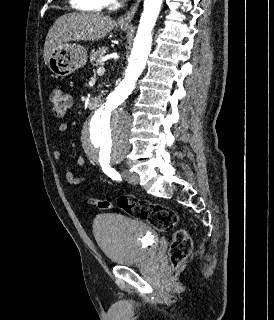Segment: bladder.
<instances>
[{
	"label": "bladder",
	"mask_w": 274,
	"mask_h": 320,
	"mask_svg": "<svg viewBox=\"0 0 274 320\" xmlns=\"http://www.w3.org/2000/svg\"><path fill=\"white\" fill-rule=\"evenodd\" d=\"M92 231L96 243L109 262L129 266L153 258L158 236L146 223L117 214L95 218Z\"/></svg>",
	"instance_id": "obj_1"
}]
</instances>
